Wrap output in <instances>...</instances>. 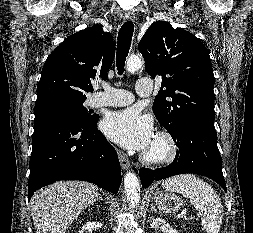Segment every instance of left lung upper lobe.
I'll return each instance as SVG.
<instances>
[{
    "label": "left lung upper lobe",
    "mask_w": 253,
    "mask_h": 233,
    "mask_svg": "<svg viewBox=\"0 0 253 233\" xmlns=\"http://www.w3.org/2000/svg\"><path fill=\"white\" fill-rule=\"evenodd\" d=\"M146 71L162 76L153 112L177 138L185 124L204 118L214 121V74L209 52L190 32L154 22L139 43Z\"/></svg>",
    "instance_id": "left-lung-upper-lobe-1"
}]
</instances>
